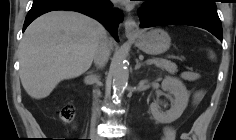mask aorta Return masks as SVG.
Segmentation results:
<instances>
[{"label":"aorta","mask_w":236,"mask_h":140,"mask_svg":"<svg viewBox=\"0 0 236 140\" xmlns=\"http://www.w3.org/2000/svg\"><path fill=\"white\" fill-rule=\"evenodd\" d=\"M129 72L125 63V55H119L113 66L114 97L120 99L128 84Z\"/></svg>","instance_id":"762f6f07"}]
</instances>
